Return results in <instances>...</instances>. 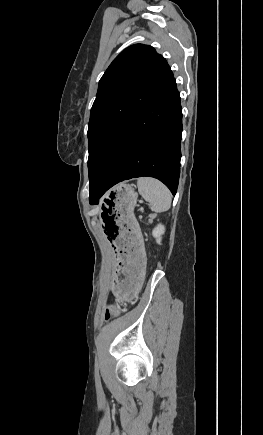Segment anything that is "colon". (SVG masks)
<instances>
[{
    "label": "colon",
    "instance_id": "1",
    "mask_svg": "<svg viewBox=\"0 0 263 435\" xmlns=\"http://www.w3.org/2000/svg\"><path fill=\"white\" fill-rule=\"evenodd\" d=\"M121 310V306L120 305H108L105 309V318L109 319L111 316H117L119 315Z\"/></svg>",
    "mask_w": 263,
    "mask_h": 435
}]
</instances>
